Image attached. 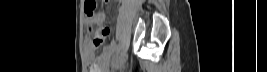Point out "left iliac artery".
<instances>
[{
    "label": "left iliac artery",
    "mask_w": 267,
    "mask_h": 72,
    "mask_svg": "<svg viewBox=\"0 0 267 72\" xmlns=\"http://www.w3.org/2000/svg\"><path fill=\"white\" fill-rule=\"evenodd\" d=\"M121 56H122V46L119 45L118 49H117V54H116V57H115V64L119 63V61L121 59Z\"/></svg>",
    "instance_id": "left-iliac-artery-1"
}]
</instances>
